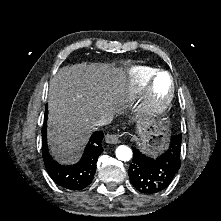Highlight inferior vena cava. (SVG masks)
<instances>
[{"label":"inferior vena cava","instance_id":"inferior-vena-cava-1","mask_svg":"<svg viewBox=\"0 0 221 221\" xmlns=\"http://www.w3.org/2000/svg\"><path fill=\"white\" fill-rule=\"evenodd\" d=\"M113 116L109 114H105L101 116L98 121L95 123L96 126H105L112 122Z\"/></svg>","mask_w":221,"mask_h":221}]
</instances>
